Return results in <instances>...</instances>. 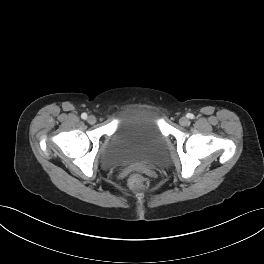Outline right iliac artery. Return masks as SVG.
Returning a JSON list of instances; mask_svg holds the SVG:
<instances>
[{
	"label": "right iliac artery",
	"mask_w": 264,
	"mask_h": 264,
	"mask_svg": "<svg viewBox=\"0 0 264 264\" xmlns=\"http://www.w3.org/2000/svg\"><path fill=\"white\" fill-rule=\"evenodd\" d=\"M81 118L86 120L87 119V114L86 113H82Z\"/></svg>",
	"instance_id": "right-iliac-artery-1"
}]
</instances>
